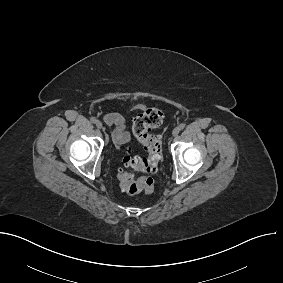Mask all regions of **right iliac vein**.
<instances>
[{
    "mask_svg": "<svg viewBox=\"0 0 283 283\" xmlns=\"http://www.w3.org/2000/svg\"><path fill=\"white\" fill-rule=\"evenodd\" d=\"M96 126H97V128L101 129L102 128V123L100 121H97Z\"/></svg>",
    "mask_w": 283,
    "mask_h": 283,
    "instance_id": "63e3f726",
    "label": "right iliac vein"
}]
</instances>
